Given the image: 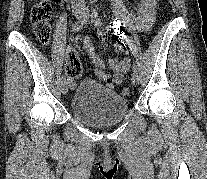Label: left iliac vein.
Wrapping results in <instances>:
<instances>
[{
  "instance_id": "1",
  "label": "left iliac vein",
  "mask_w": 207,
  "mask_h": 179,
  "mask_svg": "<svg viewBox=\"0 0 207 179\" xmlns=\"http://www.w3.org/2000/svg\"><path fill=\"white\" fill-rule=\"evenodd\" d=\"M84 15H85L86 18H88L86 12H84ZM92 15H93V14H92ZM91 18H92V17H91ZM92 19H93V18H92ZM131 82H132V84L135 85V86H137V85L139 84V75H138L137 72H133V74H132V76H131Z\"/></svg>"
}]
</instances>
